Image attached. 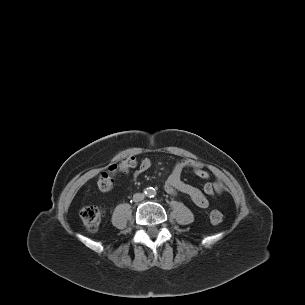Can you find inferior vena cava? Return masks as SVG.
Wrapping results in <instances>:
<instances>
[{
  "label": "inferior vena cava",
  "mask_w": 305,
  "mask_h": 305,
  "mask_svg": "<svg viewBox=\"0 0 305 305\" xmlns=\"http://www.w3.org/2000/svg\"><path fill=\"white\" fill-rule=\"evenodd\" d=\"M144 198V194L142 193H136L134 194V200L141 201Z\"/></svg>",
  "instance_id": "inferior-vena-cava-1"
}]
</instances>
